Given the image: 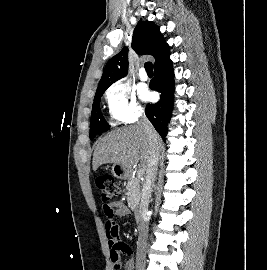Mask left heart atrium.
Returning a JSON list of instances; mask_svg holds the SVG:
<instances>
[{"label":"left heart atrium","instance_id":"1","mask_svg":"<svg viewBox=\"0 0 267 270\" xmlns=\"http://www.w3.org/2000/svg\"><path fill=\"white\" fill-rule=\"evenodd\" d=\"M140 96L143 100H149L151 98V94L146 88L140 89Z\"/></svg>","mask_w":267,"mask_h":270}]
</instances>
